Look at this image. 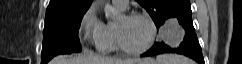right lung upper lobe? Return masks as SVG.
I'll list each match as a JSON object with an SVG mask.
<instances>
[{
	"label": "right lung upper lobe",
	"instance_id": "cb5924a9",
	"mask_svg": "<svg viewBox=\"0 0 242 64\" xmlns=\"http://www.w3.org/2000/svg\"><path fill=\"white\" fill-rule=\"evenodd\" d=\"M93 0H50L46 17L86 12Z\"/></svg>",
	"mask_w": 242,
	"mask_h": 64
}]
</instances>
